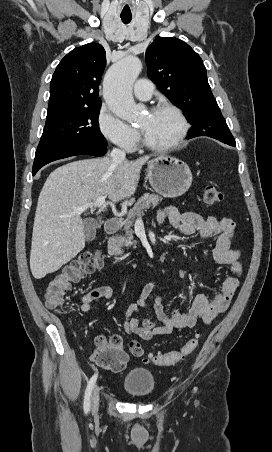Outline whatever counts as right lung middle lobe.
Segmentation results:
<instances>
[{
    "instance_id": "dd1d6c3e",
    "label": "right lung middle lobe",
    "mask_w": 272,
    "mask_h": 452,
    "mask_svg": "<svg viewBox=\"0 0 272 452\" xmlns=\"http://www.w3.org/2000/svg\"><path fill=\"white\" fill-rule=\"evenodd\" d=\"M101 106L69 109L47 114L44 131L37 149L57 148L72 144L107 146L100 132L98 116Z\"/></svg>"
}]
</instances>
